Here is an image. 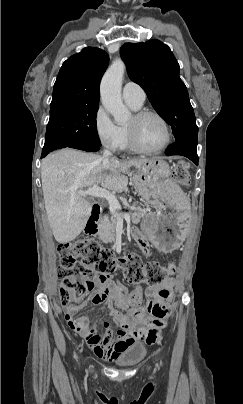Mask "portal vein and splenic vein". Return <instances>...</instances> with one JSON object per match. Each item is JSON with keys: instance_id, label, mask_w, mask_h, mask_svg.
I'll return each instance as SVG.
<instances>
[{"instance_id": "1", "label": "portal vein and splenic vein", "mask_w": 243, "mask_h": 404, "mask_svg": "<svg viewBox=\"0 0 243 404\" xmlns=\"http://www.w3.org/2000/svg\"><path fill=\"white\" fill-rule=\"evenodd\" d=\"M78 194L80 196H94V198H105L107 200L110 208V212H112V215L115 218H120L124 217L125 215L130 216L132 213V210H135V206H131L130 210L126 212V210H121V206L114 194H111L109 190H105V188H99L97 184L95 186H92V188H88V190H78Z\"/></svg>"}]
</instances>
